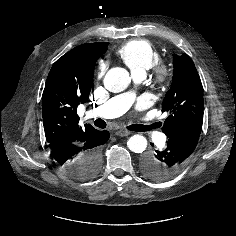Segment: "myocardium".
Segmentation results:
<instances>
[{"label":"myocardium","mask_w":236,"mask_h":236,"mask_svg":"<svg viewBox=\"0 0 236 236\" xmlns=\"http://www.w3.org/2000/svg\"><path fill=\"white\" fill-rule=\"evenodd\" d=\"M153 78L158 85L165 84L171 76V69L164 61H158L153 67Z\"/></svg>","instance_id":"obj_1"}]
</instances>
